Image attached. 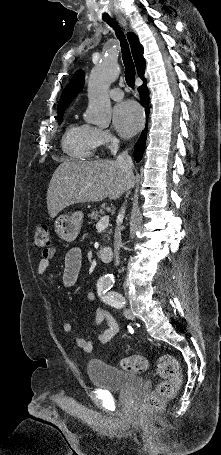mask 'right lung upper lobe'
<instances>
[{"label":"right lung upper lobe","mask_w":221,"mask_h":455,"mask_svg":"<svg viewBox=\"0 0 221 455\" xmlns=\"http://www.w3.org/2000/svg\"><path fill=\"white\" fill-rule=\"evenodd\" d=\"M128 40L131 45L132 55L136 64L137 73L142 78L145 70V59L143 58V47L139 43L138 37L133 33L127 34ZM84 85V73L78 71L72 77L70 83L64 89L61 98L58 102V110L66 109L72 100L77 96Z\"/></svg>","instance_id":"cb5924a9"}]
</instances>
